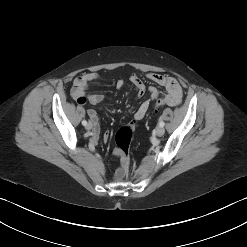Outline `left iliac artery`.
Masks as SVG:
<instances>
[{"instance_id": "44dca946", "label": "left iliac artery", "mask_w": 247, "mask_h": 247, "mask_svg": "<svg viewBox=\"0 0 247 247\" xmlns=\"http://www.w3.org/2000/svg\"><path fill=\"white\" fill-rule=\"evenodd\" d=\"M159 125H160L161 127H163V126L165 125V123H164L162 120H160V121H159Z\"/></svg>"}]
</instances>
